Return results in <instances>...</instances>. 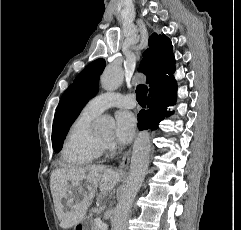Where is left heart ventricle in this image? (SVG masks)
Here are the masks:
<instances>
[{
  "label": "left heart ventricle",
  "mask_w": 241,
  "mask_h": 230,
  "mask_svg": "<svg viewBox=\"0 0 241 230\" xmlns=\"http://www.w3.org/2000/svg\"><path fill=\"white\" fill-rule=\"evenodd\" d=\"M98 139H100L102 141L106 140V138H104V137H98Z\"/></svg>",
  "instance_id": "b2bd125f"
}]
</instances>
